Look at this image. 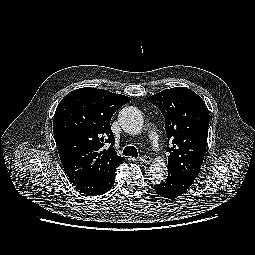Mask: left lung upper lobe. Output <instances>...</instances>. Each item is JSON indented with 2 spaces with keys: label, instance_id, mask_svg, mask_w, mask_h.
I'll return each instance as SVG.
<instances>
[{
  "label": "left lung upper lobe",
  "instance_id": "1",
  "mask_svg": "<svg viewBox=\"0 0 255 255\" xmlns=\"http://www.w3.org/2000/svg\"><path fill=\"white\" fill-rule=\"evenodd\" d=\"M165 118L172 147H168V173L189 179L198 176L203 163L209 127L205 102L186 87H174L148 97Z\"/></svg>",
  "mask_w": 255,
  "mask_h": 255
}]
</instances>
